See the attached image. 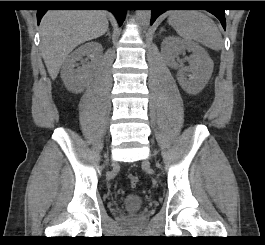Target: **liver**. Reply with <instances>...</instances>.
<instances>
[{
	"label": "liver",
	"instance_id": "6515ba94",
	"mask_svg": "<svg viewBox=\"0 0 265 245\" xmlns=\"http://www.w3.org/2000/svg\"><path fill=\"white\" fill-rule=\"evenodd\" d=\"M107 12L51 10L41 20L42 57L54 80L68 55L78 45L101 37L108 30Z\"/></svg>",
	"mask_w": 265,
	"mask_h": 245
}]
</instances>
